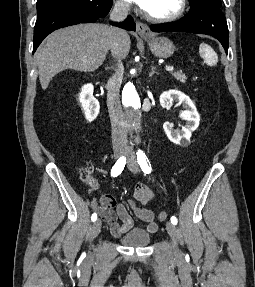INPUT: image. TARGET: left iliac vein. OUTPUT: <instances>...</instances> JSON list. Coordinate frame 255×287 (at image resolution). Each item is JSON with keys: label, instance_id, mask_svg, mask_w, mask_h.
<instances>
[{"label": "left iliac vein", "instance_id": "4c4485c4", "mask_svg": "<svg viewBox=\"0 0 255 287\" xmlns=\"http://www.w3.org/2000/svg\"><path fill=\"white\" fill-rule=\"evenodd\" d=\"M126 152L128 155V160H127L128 169L130 171H132L133 173H137L139 171V166L137 164V161H136V158H135V155H134L132 148L127 147ZM166 230L172 239V244H173V247L175 249V252L178 253L179 249H178V245H177V231H176L175 225L172 222H167L166 223Z\"/></svg>", "mask_w": 255, "mask_h": 287}]
</instances>
